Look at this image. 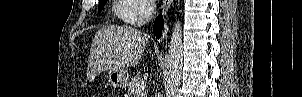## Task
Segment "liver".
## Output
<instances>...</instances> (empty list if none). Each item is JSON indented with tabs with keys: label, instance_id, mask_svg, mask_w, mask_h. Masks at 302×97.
<instances>
[{
	"label": "liver",
	"instance_id": "6515ba94",
	"mask_svg": "<svg viewBox=\"0 0 302 97\" xmlns=\"http://www.w3.org/2000/svg\"><path fill=\"white\" fill-rule=\"evenodd\" d=\"M148 40L149 35L128 26L100 29L90 50L92 71L136 66Z\"/></svg>",
	"mask_w": 302,
	"mask_h": 97
}]
</instances>
